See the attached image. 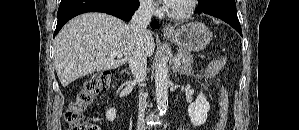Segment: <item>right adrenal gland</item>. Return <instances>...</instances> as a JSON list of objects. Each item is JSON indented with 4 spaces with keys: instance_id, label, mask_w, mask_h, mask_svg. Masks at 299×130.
I'll return each instance as SVG.
<instances>
[{
    "instance_id": "1",
    "label": "right adrenal gland",
    "mask_w": 299,
    "mask_h": 130,
    "mask_svg": "<svg viewBox=\"0 0 299 130\" xmlns=\"http://www.w3.org/2000/svg\"><path fill=\"white\" fill-rule=\"evenodd\" d=\"M125 72L128 74V75H130L131 73L128 71V70H125Z\"/></svg>"
}]
</instances>
